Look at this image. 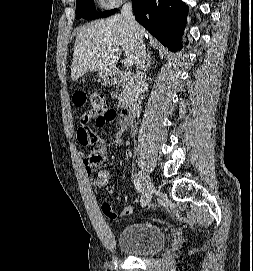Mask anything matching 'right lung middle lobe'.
<instances>
[{
  "label": "right lung middle lobe",
  "mask_w": 253,
  "mask_h": 271,
  "mask_svg": "<svg viewBox=\"0 0 253 271\" xmlns=\"http://www.w3.org/2000/svg\"><path fill=\"white\" fill-rule=\"evenodd\" d=\"M94 0H77L76 2V18H85L88 20L97 19L101 17H108L114 14L117 9L108 10L102 13H93Z\"/></svg>",
  "instance_id": "right-lung-middle-lobe-1"
}]
</instances>
